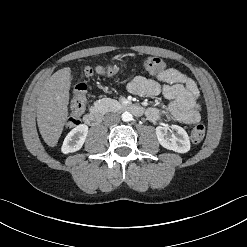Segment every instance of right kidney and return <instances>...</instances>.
I'll use <instances>...</instances> for the list:
<instances>
[{"instance_id":"1","label":"right kidney","mask_w":247,"mask_h":247,"mask_svg":"<svg viewBox=\"0 0 247 247\" xmlns=\"http://www.w3.org/2000/svg\"><path fill=\"white\" fill-rule=\"evenodd\" d=\"M88 134V126L81 124L72 129L65 137L61 151L64 154L78 151L83 146Z\"/></svg>"}]
</instances>
